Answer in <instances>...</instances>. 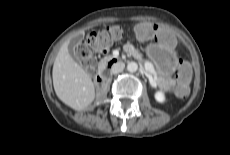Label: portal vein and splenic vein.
<instances>
[{"instance_id": "obj_1", "label": "portal vein and splenic vein", "mask_w": 230, "mask_h": 155, "mask_svg": "<svg viewBox=\"0 0 230 155\" xmlns=\"http://www.w3.org/2000/svg\"><path fill=\"white\" fill-rule=\"evenodd\" d=\"M149 71L151 72V73H153L154 72V70H153V68L151 67L150 69H149ZM150 82H151V84L152 85H156V82H155V80L150 76Z\"/></svg>"}]
</instances>
